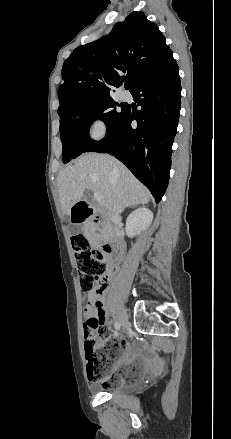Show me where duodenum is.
Here are the masks:
<instances>
[{"label": "duodenum", "instance_id": "1", "mask_svg": "<svg viewBox=\"0 0 231 439\" xmlns=\"http://www.w3.org/2000/svg\"><path fill=\"white\" fill-rule=\"evenodd\" d=\"M97 211L98 206L96 204L81 202L78 204V213L75 215L74 221L80 222L91 218V223L96 225L100 221V216L96 215ZM99 246L105 253L110 255V261L114 263L115 260L112 258V251L115 248L114 244L106 240L101 241Z\"/></svg>", "mask_w": 231, "mask_h": 439}]
</instances>
